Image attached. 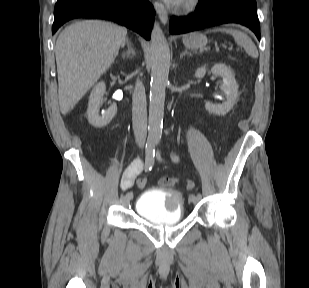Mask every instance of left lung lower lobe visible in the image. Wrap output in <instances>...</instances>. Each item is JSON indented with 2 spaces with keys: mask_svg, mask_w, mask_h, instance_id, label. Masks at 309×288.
Wrapping results in <instances>:
<instances>
[{
  "mask_svg": "<svg viewBox=\"0 0 309 288\" xmlns=\"http://www.w3.org/2000/svg\"><path fill=\"white\" fill-rule=\"evenodd\" d=\"M224 23L245 25L260 40L255 0H199L198 11L194 14L171 18L170 33L181 34Z\"/></svg>",
  "mask_w": 309,
  "mask_h": 288,
  "instance_id": "1",
  "label": "left lung lower lobe"
}]
</instances>
